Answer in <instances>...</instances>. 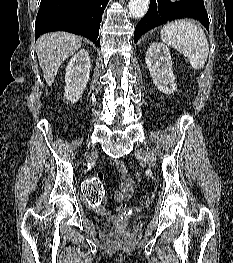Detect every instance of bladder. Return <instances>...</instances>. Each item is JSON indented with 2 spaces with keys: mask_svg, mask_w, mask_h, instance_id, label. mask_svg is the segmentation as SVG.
<instances>
[{
  "mask_svg": "<svg viewBox=\"0 0 233 263\" xmlns=\"http://www.w3.org/2000/svg\"><path fill=\"white\" fill-rule=\"evenodd\" d=\"M129 220V217L126 215H118L113 218H111V222L117 223V222H127Z\"/></svg>",
  "mask_w": 233,
  "mask_h": 263,
  "instance_id": "obj_1",
  "label": "bladder"
}]
</instances>
